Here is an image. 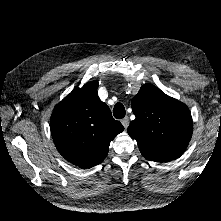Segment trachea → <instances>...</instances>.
Here are the masks:
<instances>
[{
	"mask_svg": "<svg viewBox=\"0 0 221 221\" xmlns=\"http://www.w3.org/2000/svg\"><path fill=\"white\" fill-rule=\"evenodd\" d=\"M125 107L122 103H117L113 110V115L116 119H122L125 117Z\"/></svg>",
	"mask_w": 221,
	"mask_h": 221,
	"instance_id": "3493384b",
	"label": "trachea"
}]
</instances>
